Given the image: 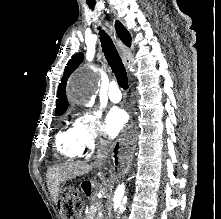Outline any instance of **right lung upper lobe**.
I'll list each match as a JSON object with an SVG mask.
<instances>
[{
	"instance_id": "obj_1",
	"label": "right lung upper lobe",
	"mask_w": 221,
	"mask_h": 219,
	"mask_svg": "<svg viewBox=\"0 0 221 219\" xmlns=\"http://www.w3.org/2000/svg\"><path fill=\"white\" fill-rule=\"evenodd\" d=\"M116 32L120 40L128 47L131 46V36L129 32L124 28V26L116 21L115 24ZM83 60V54L77 53L72 56L69 60L67 66L65 67V71L63 74V78L58 87L57 100H56V114L64 113L68 107V101L65 93L66 82L70 74L78 67V65Z\"/></svg>"
}]
</instances>
